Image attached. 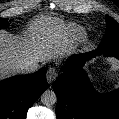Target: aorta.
Instances as JSON below:
<instances>
[{"label":"aorta","mask_w":119,"mask_h":119,"mask_svg":"<svg viewBox=\"0 0 119 119\" xmlns=\"http://www.w3.org/2000/svg\"><path fill=\"white\" fill-rule=\"evenodd\" d=\"M57 101V97L54 91L52 90H46L41 95V102L46 106L54 105Z\"/></svg>","instance_id":"aorta-1"}]
</instances>
